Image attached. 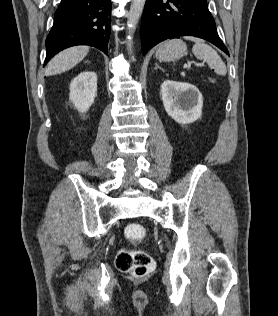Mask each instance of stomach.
Segmentation results:
<instances>
[{
	"mask_svg": "<svg viewBox=\"0 0 278 316\" xmlns=\"http://www.w3.org/2000/svg\"><path fill=\"white\" fill-rule=\"evenodd\" d=\"M186 44L181 40H172L162 44L156 51V57L160 61H175L187 53Z\"/></svg>",
	"mask_w": 278,
	"mask_h": 316,
	"instance_id": "stomach-1",
	"label": "stomach"
}]
</instances>
